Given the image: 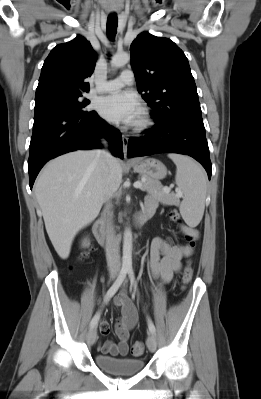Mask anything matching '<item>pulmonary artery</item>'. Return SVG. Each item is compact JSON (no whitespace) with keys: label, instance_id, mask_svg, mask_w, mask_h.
I'll list each match as a JSON object with an SVG mask.
<instances>
[{"label":"pulmonary artery","instance_id":"obj_1","mask_svg":"<svg viewBox=\"0 0 261 399\" xmlns=\"http://www.w3.org/2000/svg\"><path fill=\"white\" fill-rule=\"evenodd\" d=\"M134 74L131 70H124L121 72L120 76L106 81L104 83H97L93 92L95 93H103V92H113L125 85H130L133 83Z\"/></svg>","mask_w":261,"mask_h":399}]
</instances>
